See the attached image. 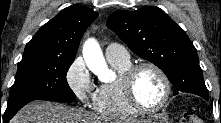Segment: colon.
I'll return each mask as SVG.
<instances>
[{
    "label": "colon",
    "instance_id": "colon-1",
    "mask_svg": "<svg viewBox=\"0 0 221 123\" xmlns=\"http://www.w3.org/2000/svg\"><path fill=\"white\" fill-rule=\"evenodd\" d=\"M180 123H204V120L197 114L192 112H184Z\"/></svg>",
    "mask_w": 221,
    "mask_h": 123
}]
</instances>
